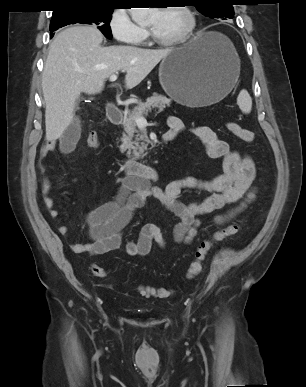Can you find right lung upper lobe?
Returning a JSON list of instances; mask_svg holds the SVG:
<instances>
[{"instance_id":"1","label":"right lung upper lobe","mask_w":306,"mask_h":387,"mask_svg":"<svg viewBox=\"0 0 306 387\" xmlns=\"http://www.w3.org/2000/svg\"><path fill=\"white\" fill-rule=\"evenodd\" d=\"M57 7L53 14L71 7H113L116 0H56Z\"/></svg>"}]
</instances>
